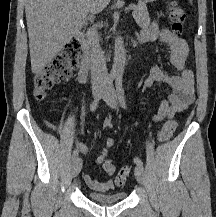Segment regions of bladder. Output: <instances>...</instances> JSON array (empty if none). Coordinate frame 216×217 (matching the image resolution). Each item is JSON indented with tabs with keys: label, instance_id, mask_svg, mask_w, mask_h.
<instances>
[{
	"label": "bladder",
	"instance_id": "31cf9c89",
	"mask_svg": "<svg viewBox=\"0 0 216 217\" xmlns=\"http://www.w3.org/2000/svg\"><path fill=\"white\" fill-rule=\"evenodd\" d=\"M127 196L124 191H115L109 193H98L95 191L88 192V198L98 204L109 205L122 202Z\"/></svg>",
	"mask_w": 216,
	"mask_h": 217
}]
</instances>
